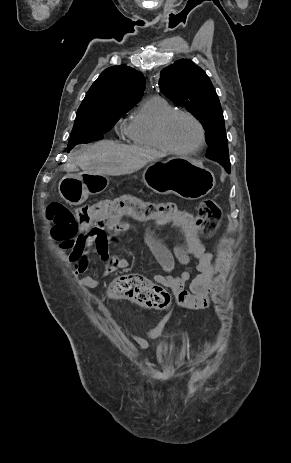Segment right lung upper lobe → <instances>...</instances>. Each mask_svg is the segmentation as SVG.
<instances>
[{
	"label": "right lung upper lobe",
	"instance_id": "1",
	"mask_svg": "<svg viewBox=\"0 0 291 463\" xmlns=\"http://www.w3.org/2000/svg\"><path fill=\"white\" fill-rule=\"evenodd\" d=\"M143 74L126 65L105 69L92 84L78 111L105 104L135 105L145 89Z\"/></svg>",
	"mask_w": 291,
	"mask_h": 463
}]
</instances>
